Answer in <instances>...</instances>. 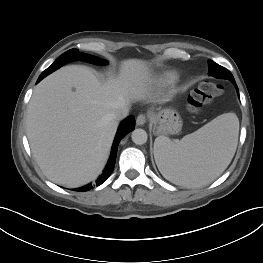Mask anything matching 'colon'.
<instances>
[{"instance_id":"colon-1","label":"colon","mask_w":263,"mask_h":263,"mask_svg":"<svg viewBox=\"0 0 263 263\" xmlns=\"http://www.w3.org/2000/svg\"><path fill=\"white\" fill-rule=\"evenodd\" d=\"M223 93V87L219 84L205 81L192 91L188 98V108L197 112L204 106L210 104Z\"/></svg>"}]
</instances>
